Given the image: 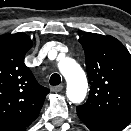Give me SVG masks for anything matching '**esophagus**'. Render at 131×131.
Here are the masks:
<instances>
[{
  "instance_id": "34e87169",
  "label": "esophagus",
  "mask_w": 131,
  "mask_h": 131,
  "mask_svg": "<svg viewBox=\"0 0 131 131\" xmlns=\"http://www.w3.org/2000/svg\"><path fill=\"white\" fill-rule=\"evenodd\" d=\"M62 90H63V86L62 85L51 87V91L52 92H61Z\"/></svg>"
}]
</instances>
